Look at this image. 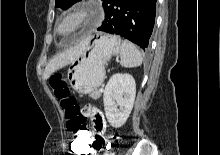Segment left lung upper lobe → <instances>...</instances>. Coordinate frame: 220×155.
Masks as SVG:
<instances>
[{
  "mask_svg": "<svg viewBox=\"0 0 220 155\" xmlns=\"http://www.w3.org/2000/svg\"><path fill=\"white\" fill-rule=\"evenodd\" d=\"M79 0H56V7L62 8L63 10L69 8L74 3H76Z\"/></svg>",
  "mask_w": 220,
  "mask_h": 155,
  "instance_id": "5c2ea615",
  "label": "left lung upper lobe"
}]
</instances>
